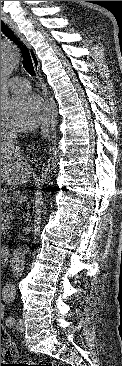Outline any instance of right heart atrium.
I'll use <instances>...</instances> for the list:
<instances>
[{"instance_id":"right-heart-atrium-1","label":"right heart atrium","mask_w":122,"mask_h":366,"mask_svg":"<svg viewBox=\"0 0 122 366\" xmlns=\"http://www.w3.org/2000/svg\"><path fill=\"white\" fill-rule=\"evenodd\" d=\"M6 132H7L6 128L3 125H1V136Z\"/></svg>"}]
</instances>
